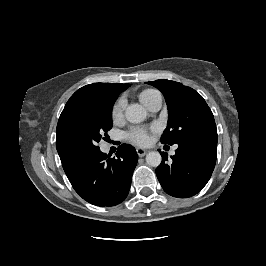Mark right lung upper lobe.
Listing matches in <instances>:
<instances>
[{
    "label": "right lung upper lobe",
    "instance_id": "obj_1",
    "mask_svg": "<svg viewBox=\"0 0 266 266\" xmlns=\"http://www.w3.org/2000/svg\"><path fill=\"white\" fill-rule=\"evenodd\" d=\"M127 87H129V84L93 83L78 89L70 97L59 117L56 128V146L60 130L71 117L97 100L109 97L117 98L119 93L127 89ZM58 153L63 169L69 178L77 171L84 159H73L63 155L59 151Z\"/></svg>",
    "mask_w": 266,
    "mask_h": 266
}]
</instances>
